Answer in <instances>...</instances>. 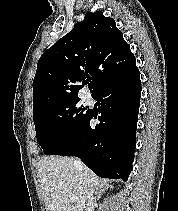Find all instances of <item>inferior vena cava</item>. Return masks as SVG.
<instances>
[{"label": "inferior vena cava", "instance_id": "1", "mask_svg": "<svg viewBox=\"0 0 178 211\" xmlns=\"http://www.w3.org/2000/svg\"><path fill=\"white\" fill-rule=\"evenodd\" d=\"M74 164L79 170H84V166H83L81 160L76 159L74 161ZM95 193L96 192L94 189H91L87 193L85 211H93L94 205H95V200H96Z\"/></svg>", "mask_w": 178, "mask_h": 211}]
</instances>
